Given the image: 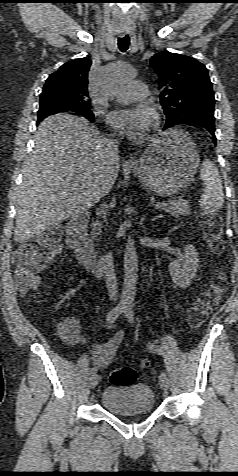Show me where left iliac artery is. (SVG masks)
Here are the masks:
<instances>
[{"instance_id":"44dca946","label":"left iliac artery","mask_w":238,"mask_h":476,"mask_svg":"<svg viewBox=\"0 0 238 476\" xmlns=\"http://www.w3.org/2000/svg\"><path fill=\"white\" fill-rule=\"evenodd\" d=\"M124 314L127 318V320L130 322V323H133L134 321V313H133V307L131 304H128L125 306V309H124ZM150 350L160 354V355H164V350L157 346V345H150L149 346Z\"/></svg>"}]
</instances>
